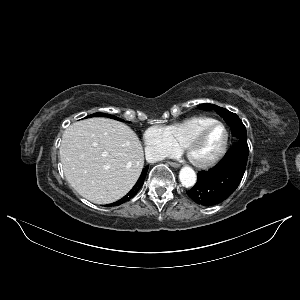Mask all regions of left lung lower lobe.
Returning a JSON list of instances; mask_svg holds the SVG:
<instances>
[{"instance_id": "left-lung-lower-lobe-1", "label": "left lung lower lobe", "mask_w": 300, "mask_h": 300, "mask_svg": "<svg viewBox=\"0 0 300 300\" xmlns=\"http://www.w3.org/2000/svg\"><path fill=\"white\" fill-rule=\"evenodd\" d=\"M248 154L246 143H235L217 166L198 173L196 184L187 191L188 196L203 206H213L226 200L242 180Z\"/></svg>"}]
</instances>
